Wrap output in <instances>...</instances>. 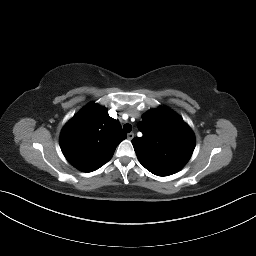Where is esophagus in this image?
Listing matches in <instances>:
<instances>
[{
  "label": "esophagus",
  "mask_w": 256,
  "mask_h": 256,
  "mask_svg": "<svg viewBox=\"0 0 256 256\" xmlns=\"http://www.w3.org/2000/svg\"><path fill=\"white\" fill-rule=\"evenodd\" d=\"M127 138H128L129 140H132V139L134 138V133H133V132L128 133V134H127Z\"/></svg>",
  "instance_id": "1"
}]
</instances>
